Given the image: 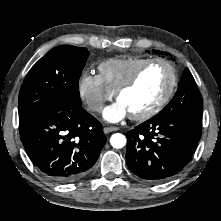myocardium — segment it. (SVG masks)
I'll list each match as a JSON object with an SVG mask.
<instances>
[{"label":"myocardium","mask_w":221,"mask_h":221,"mask_svg":"<svg viewBox=\"0 0 221 221\" xmlns=\"http://www.w3.org/2000/svg\"><path fill=\"white\" fill-rule=\"evenodd\" d=\"M159 63L168 68L170 71V82L169 86L166 89V91L163 93V95L159 98V100L149 109H147L144 112L137 113V114H130V117L133 120L136 121H144L148 120L155 115H157L168 103V101L171 99L172 95L174 94V91L177 86L178 81V75L175 67L167 60L161 59V58H152L147 59L143 64H141L131 75L129 78H127L115 91V97L118 100L122 93H124L126 90L131 88L140 78L142 73L146 68H148L150 65Z\"/></svg>","instance_id":"f54148a6"}]
</instances>
